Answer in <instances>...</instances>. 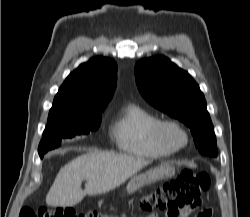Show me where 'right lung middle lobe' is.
I'll list each match as a JSON object with an SVG mask.
<instances>
[{
	"instance_id": "1",
	"label": "right lung middle lobe",
	"mask_w": 250,
	"mask_h": 217,
	"mask_svg": "<svg viewBox=\"0 0 250 217\" xmlns=\"http://www.w3.org/2000/svg\"><path fill=\"white\" fill-rule=\"evenodd\" d=\"M101 112L95 111L84 115L48 119L38 147L40 157L43 158L48 150L59 147L62 139L85 135L97 130L101 123Z\"/></svg>"
}]
</instances>
